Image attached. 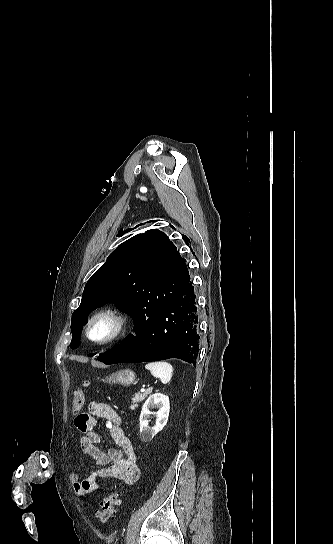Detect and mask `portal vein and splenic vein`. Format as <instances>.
I'll return each mask as SVG.
<instances>
[{
    "label": "portal vein and splenic vein",
    "mask_w": 333,
    "mask_h": 544,
    "mask_svg": "<svg viewBox=\"0 0 333 544\" xmlns=\"http://www.w3.org/2000/svg\"><path fill=\"white\" fill-rule=\"evenodd\" d=\"M148 390L150 391V390H152V388H149ZM145 391H146V389H144V388L141 389V392H145Z\"/></svg>",
    "instance_id": "1"
}]
</instances>
